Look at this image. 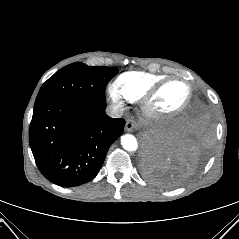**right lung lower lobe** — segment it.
Returning <instances> with one entry per match:
<instances>
[{
  "label": "right lung lower lobe",
  "instance_id": "right-lung-lower-lobe-1",
  "mask_svg": "<svg viewBox=\"0 0 239 239\" xmlns=\"http://www.w3.org/2000/svg\"><path fill=\"white\" fill-rule=\"evenodd\" d=\"M105 102L57 99L35 104L29 143L40 172L52 183L73 187L92 180L125 120L105 113Z\"/></svg>",
  "mask_w": 239,
  "mask_h": 239
}]
</instances>
